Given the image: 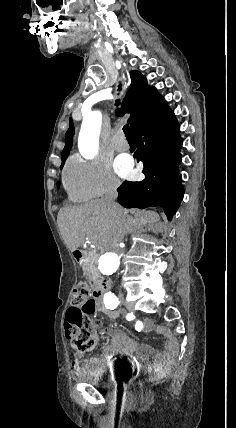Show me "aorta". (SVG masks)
I'll return each instance as SVG.
<instances>
[{
	"label": "aorta",
	"mask_w": 236,
	"mask_h": 428,
	"mask_svg": "<svg viewBox=\"0 0 236 428\" xmlns=\"http://www.w3.org/2000/svg\"><path fill=\"white\" fill-rule=\"evenodd\" d=\"M102 115L99 111L91 112L84 116L81 125L78 146L83 156L93 157L99 146ZM120 265L119 258L112 252H107L99 259L98 269L102 275L114 274Z\"/></svg>",
	"instance_id": "762f6f07"
}]
</instances>
